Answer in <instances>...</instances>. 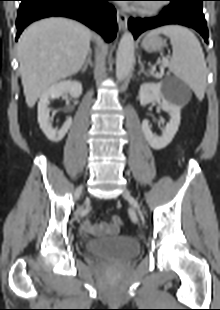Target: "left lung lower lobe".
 <instances>
[{
  "mask_svg": "<svg viewBox=\"0 0 220 310\" xmlns=\"http://www.w3.org/2000/svg\"><path fill=\"white\" fill-rule=\"evenodd\" d=\"M170 1L162 13L151 18H130L129 28L134 38H137L146 30L163 25L176 24L191 27L199 32L205 41L208 38V30L204 14L202 12V2L199 0H164Z\"/></svg>",
  "mask_w": 220,
  "mask_h": 310,
  "instance_id": "0a47b994",
  "label": "left lung lower lobe"
}]
</instances>
